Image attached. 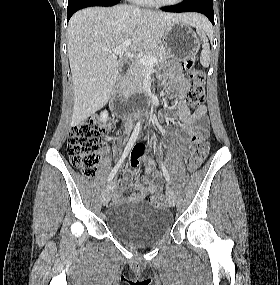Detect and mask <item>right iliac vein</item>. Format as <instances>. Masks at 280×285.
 <instances>
[{
	"mask_svg": "<svg viewBox=\"0 0 280 285\" xmlns=\"http://www.w3.org/2000/svg\"><path fill=\"white\" fill-rule=\"evenodd\" d=\"M112 191H113V183L111 182L105 189L103 196H102V203L104 206L108 205L110 198H111Z\"/></svg>",
	"mask_w": 280,
	"mask_h": 285,
	"instance_id": "63e3f726",
	"label": "right iliac vein"
}]
</instances>
